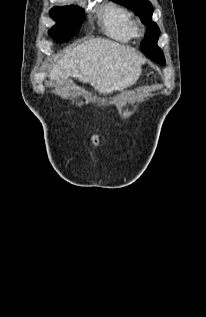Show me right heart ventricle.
Masks as SVG:
<instances>
[{
  "label": "right heart ventricle",
  "instance_id": "obj_1",
  "mask_svg": "<svg viewBox=\"0 0 206 317\" xmlns=\"http://www.w3.org/2000/svg\"><path fill=\"white\" fill-rule=\"evenodd\" d=\"M103 32L113 40L128 42L134 37L133 20L130 13L113 2L100 9Z\"/></svg>",
  "mask_w": 206,
  "mask_h": 317
}]
</instances>
